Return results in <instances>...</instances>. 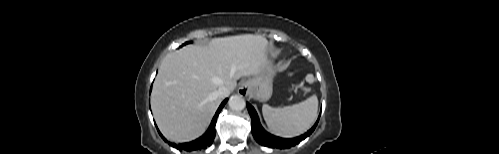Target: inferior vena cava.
<instances>
[{
  "label": "inferior vena cava",
  "instance_id": "inferior-vena-cava-1",
  "mask_svg": "<svg viewBox=\"0 0 499 154\" xmlns=\"http://www.w3.org/2000/svg\"><path fill=\"white\" fill-rule=\"evenodd\" d=\"M216 94H217L218 97L224 98V97L229 96L230 91L225 86H221V87L218 88Z\"/></svg>",
  "mask_w": 499,
  "mask_h": 154
}]
</instances>
